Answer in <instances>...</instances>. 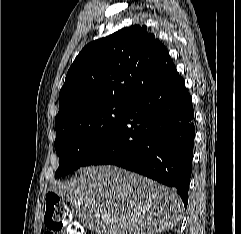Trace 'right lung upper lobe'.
Listing matches in <instances>:
<instances>
[{"label": "right lung upper lobe", "instance_id": "right-lung-upper-lobe-1", "mask_svg": "<svg viewBox=\"0 0 241 234\" xmlns=\"http://www.w3.org/2000/svg\"><path fill=\"white\" fill-rule=\"evenodd\" d=\"M174 66L164 44L145 25L125 27L86 45L59 93L55 129L82 111L104 104H130Z\"/></svg>", "mask_w": 241, "mask_h": 234}]
</instances>
